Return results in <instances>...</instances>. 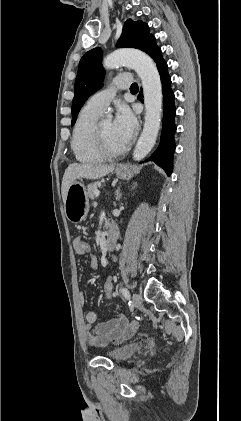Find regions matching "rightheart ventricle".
<instances>
[{
	"mask_svg": "<svg viewBox=\"0 0 241 421\" xmlns=\"http://www.w3.org/2000/svg\"><path fill=\"white\" fill-rule=\"evenodd\" d=\"M100 116L101 113L87 105L78 115L73 128L71 148L75 158L81 163L93 164L105 159L95 142V129Z\"/></svg>",
	"mask_w": 241,
	"mask_h": 421,
	"instance_id": "obj_1",
	"label": "right heart ventricle"
}]
</instances>
